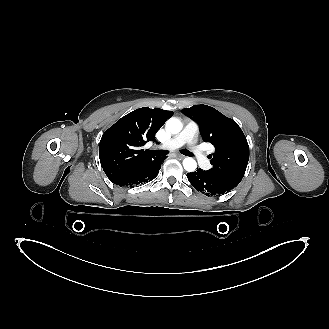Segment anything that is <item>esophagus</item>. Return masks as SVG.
Returning <instances> with one entry per match:
<instances>
[{"instance_id":"obj_1","label":"esophagus","mask_w":329,"mask_h":329,"mask_svg":"<svg viewBox=\"0 0 329 329\" xmlns=\"http://www.w3.org/2000/svg\"><path fill=\"white\" fill-rule=\"evenodd\" d=\"M176 156H177V158H179V159H184V158H185L184 155H180V154H177Z\"/></svg>"}]
</instances>
